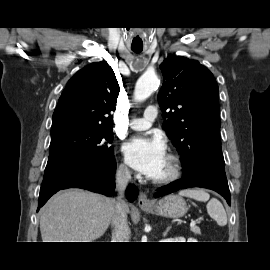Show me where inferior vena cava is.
I'll use <instances>...</instances> for the list:
<instances>
[{"label": "inferior vena cava", "instance_id": "602c4592", "mask_svg": "<svg viewBox=\"0 0 270 270\" xmlns=\"http://www.w3.org/2000/svg\"><path fill=\"white\" fill-rule=\"evenodd\" d=\"M130 181V172L126 166H120L115 174L116 198L115 209L112 213L111 223L113 227L112 242H129L130 229L127 220V205L123 200L124 191Z\"/></svg>", "mask_w": 270, "mask_h": 270}]
</instances>
